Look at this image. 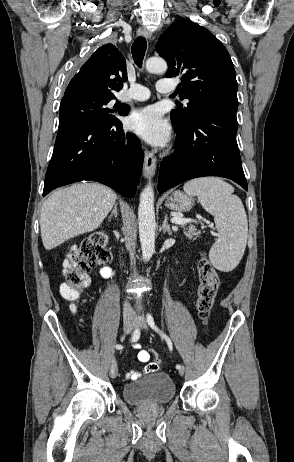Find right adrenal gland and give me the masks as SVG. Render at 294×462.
<instances>
[{
  "label": "right adrenal gland",
  "mask_w": 294,
  "mask_h": 462,
  "mask_svg": "<svg viewBox=\"0 0 294 462\" xmlns=\"http://www.w3.org/2000/svg\"><path fill=\"white\" fill-rule=\"evenodd\" d=\"M117 206H118V203H115V204H114V208H113V210H112V212H111V214H110V216H109V219H111L113 216H114L115 218L117 217V215H118Z\"/></svg>",
  "instance_id": "2a0ac1e0"
}]
</instances>
